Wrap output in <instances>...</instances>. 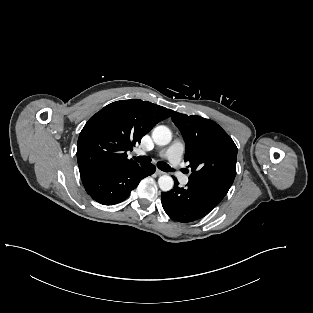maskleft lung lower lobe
<instances>
[{
    "mask_svg": "<svg viewBox=\"0 0 313 313\" xmlns=\"http://www.w3.org/2000/svg\"><path fill=\"white\" fill-rule=\"evenodd\" d=\"M174 180V188L161 194V202L167 215L178 222L187 223L204 217L223 199L190 183L186 188H180Z\"/></svg>",
    "mask_w": 313,
    "mask_h": 313,
    "instance_id": "obj_1",
    "label": "left lung lower lobe"
}]
</instances>
